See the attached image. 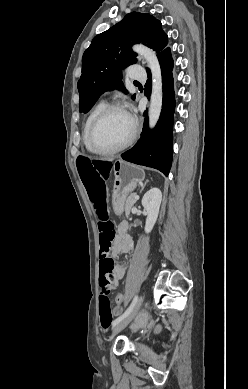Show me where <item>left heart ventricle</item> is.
<instances>
[{
	"mask_svg": "<svg viewBox=\"0 0 248 389\" xmlns=\"http://www.w3.org/2000/svg\"><path fill=\"white\" fill-rule=\"evenodd\" d=\"M133 123L123 111L114 110L100 122L94 133V144L101 149L115 148L132 134Z\"/></svg>",
	"mask_w": 248,
	"mask_h": 389,
	"instance_id": "left-heart-ventricle-1",
	"label": "left heart ventricle"
}]
</instances>
